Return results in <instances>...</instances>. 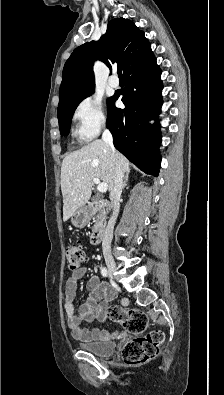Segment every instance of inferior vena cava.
Masks as SVG:
<instances>
[{
	"instance_id": "inferior-vena-cava-1",
	"label": "inferior vena cava",
	"mask_w": 224,
	"mask_h": 395,
	"mask_svg": "<svg viewBox=\"0 0 224 395\" xmlns=\"http://www.w3.org/2000/svg\"><path fill=\"white\" fill-rule=\"evenodd\" d=\"M102 140L110 146V148L115 151L114 145H113V137L112 134L108 129H104L103 134H102ZM123 172L120 168V165L116 163L115 165V174H114V185L113 188L110 191V200L111 204L113 207L112 215L110 216V219L107 223L106 229L103 234V239H102V250L104 254H109L111 250V242L113 238V228L119 213V200L121 197L122 193V188H123Z\"/></svg>"
}]
</instances>
